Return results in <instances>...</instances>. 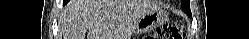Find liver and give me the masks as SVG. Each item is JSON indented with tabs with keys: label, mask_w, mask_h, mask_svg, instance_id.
Wrapping results in <instances>:
<instances>
[{
	"label": "liver",
	"mask_w": 249,
	"mask_h": 39,
	"mask_svg": "<svg viewBox=\"0 0 249 39\" xmlns=\"http://www.w3.org/2000/svg\"><path fill=\"white\" fill-rule=\"evenodd\" d=\"M158 8L151 0H75L68 9L64 39H128L137 19Z\"/></svg>",
	"instance_id": "obj_1"
}]
</instances>
